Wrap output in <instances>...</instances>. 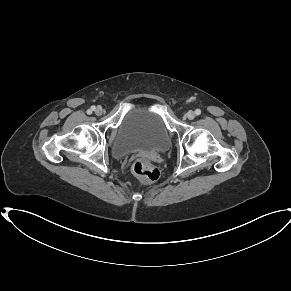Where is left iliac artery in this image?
<instances>
[{"mask_svg":"<svg viewBox=\"0 0 291 291\" xmlns=\"http://www.w3.org/2000/svg\"><path fill=\"white\" fill-rule=\"evenodd\" d=\"M195 114H196V115H200V114H201V110H200V109H196V110H195Z\"/></svg>","mask_w":291,"mask_h":291,"instance_id":"obj_1","label":"left iliac artery"}]
</instances>
